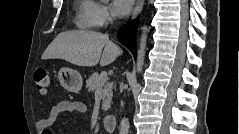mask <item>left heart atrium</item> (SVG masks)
<instances>
[{
    "label": "left heart atrium",
    "mask_w": 239,
    "mask_h": 134,
    "mask_svg": "<svg viewBox=\"0 0 239 134\" xmlns=\"http://www.w3.org/2000/svg\"><path fill=\"white\" fill-rule=\"evenodd\" d=\"M133 6V0H115L113 1L114 13L118 16L127 15Z\"/></svg>",
    "instance_id": "1"
}]
</instances>
